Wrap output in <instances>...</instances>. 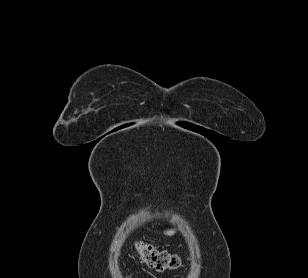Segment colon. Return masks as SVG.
Instances as JSON below:
<instances>
[{
	"label": "colon",
	"mask_w": 308,
	"mask_h": 278,
	"mask_svg": "<svg viewBox=\"0 0 308 278\" xmlns=\"http://www.w3.org/2000/svg\"><path fill=\"white\" fill-rule=\"evenodd\" d=\"M136 252L142 262L157 271L173 270L180 266V258L165 250H159L151 244L138 242Z\"/></svg>",
	"instance_id": "1"
}]
</instances>
